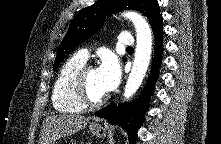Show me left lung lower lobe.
<instances>
[{
  "instance_id": "0a47b994",
  "label": "left lung lower lobe",
  "mask_w": 221,
  "mask_h": 144,
  "mask_svg": "<svg viewBox=\"0 0 221 144\" xmlns=\"http://www.w3.org/2000/svg\"><path fill=\"white\" fill-rule=\"evenodd\" d=\"M152 29L155 37L153 65L149 80L140 97L133 102L119 104L118 106H116V104H111L95 113L96 116L107 119L111 124L119 125L124 128L128 133L131 143L137 140V131L148 110L149 98L154 92V84L158 78V68L161 64L163 45V26L161 17L155 22Z\"/></svg>"
}]
</instances>
